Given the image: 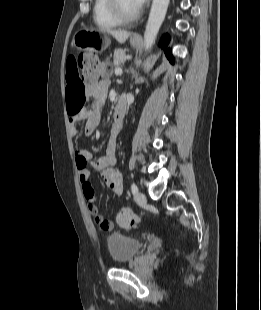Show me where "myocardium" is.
<instances>
[{
	"label": "myocardium",
	"instance_id": "myocardium-1",
	"mask_svg": "<svg viewBox=\"0 0 261 310\" xmlns=\"http://www.w3.org/2000/svg\"><path fill=\"white\" fill-rule=\"evenodd\" d=\"M107 7L112 16L120 23H130L137 20L140 17L141 11L128 15L123 12L120 6L119 0H107Z\"/></svg>",
	"mask_w": 261,
	"mask_h": 310
}]
</instances>
